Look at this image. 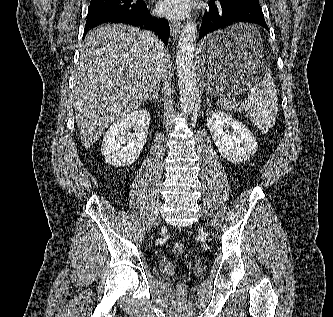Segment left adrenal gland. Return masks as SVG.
I'll use <instances>...</instances> for the list:
<instances>
[{
  "label": "left adrenal gland",
  "instance_id": "a2214340",
  "mask_svg": "<svg viewBox=\"0 0 333 317\" xmlns=\"http://www.w3.org/2000/svg\"><path fill=\"white\" fill-rule=\"evenodd\" d=\"M207 105H211L208 98L206 99V103L204 104V107H206Z\"/></svg>",
  "mask_w": 333,
  "mask_h": 317
}]
</instances>
